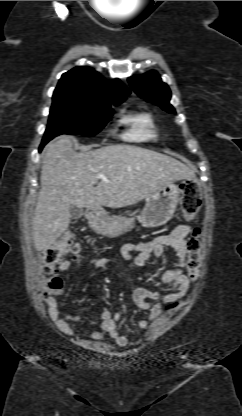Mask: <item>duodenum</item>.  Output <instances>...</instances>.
Returning <instances> with one entry per match:
<instances>
[{
  "label": "duodenum",
  "mask_w": 242,
  "mask_h": 416,
  "mask_svg": "<svg viewBox=\"0 0 242 416\" xmlns=\"http://www.w3.org/2000/svg\"><path fill=\"white\" fill-rule=\"evenodd\" d=\"M90 213H91L92 215H96V211H95V210H90Z\"/></svg>",
  "instance_id": "410a0bca"
}]
</instances>
